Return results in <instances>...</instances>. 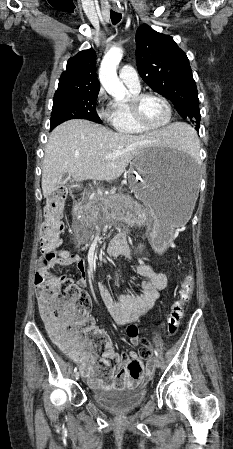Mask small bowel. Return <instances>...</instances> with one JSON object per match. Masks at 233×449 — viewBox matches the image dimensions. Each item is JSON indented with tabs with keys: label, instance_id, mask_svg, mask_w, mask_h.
I'll use <instances>...</instances> for the list:
<instances>
[{
	"label": "small bowel",
	"instance_id": "1",
	"mask_svg": "<svg viewBox=\"0 0 233 449\" xmlns=\"http://www.w3.org/2000/svg\"><path fill=\"white\" fill-rule=\"evenodd\" d=\"M54 266H74L79 271V277L76 285L83 287L87 283L86 263L83 257L68 251H63L60 255L54 257L50 262V267ZM137 271L139 275L146 280L141 284L142 291L136 296L122 295L114 299L105 285L98 286L101 297L108 308L113 320L118 325L126 326V334L129 343L136 346L139 343V327L136 322L144 317L154 307L160 292L167 286V277L163 273L155 272L151 266L140 261ZM40 296L43 291V284L36 282ZM57 345V344H56ZM63 353L74 359L80 364L83 375L87 378L89 384L95 388H99L104 384H110L112 389L117 387L118 378L121 384H141V375H121L118 376V365L126 356L134 355L133 353H117L110 339L105 338L103 342L104 353L102 355L100 367L97 362L96 347L86 346L80 340H71L65 345H57ZM115 361L117 365L112 368L110 375H106L104 381L99 372L110 366ZM153 359L149 357L147 363L146 376L152 370Z\"/></svg>",
	"mask_w": 233,
	"mask_h": 449
}]
</instances>
